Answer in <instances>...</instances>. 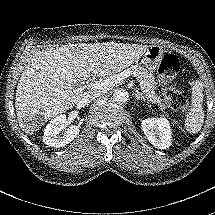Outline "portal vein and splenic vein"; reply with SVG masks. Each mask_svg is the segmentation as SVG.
<instances>
[{"mask_svg": "<svg viewBox=\"0 0 215 215\" xmlns=\"http://www.w3.org/2000/svg\"><path fill=\"white\" fill-rule=\"evenodd\" d=\"M130 74L127 71L121 72L119 74L110 76L103 80L102 82L89 81L86 82V87H90L97 90H107L117 83H120L124 79L128 78Z\"/></svg>", "mask_w": 215, "mask_h": 215, "instance_id": "1", "label": "portal vein and splenic vein"}]
</instances>
